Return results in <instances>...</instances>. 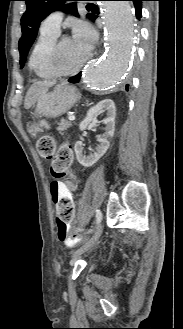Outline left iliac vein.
I'll use <instances>...</instances> for the list:
<instances>
[{
	"label": "left iliac vein",
	"instance_id": "obj_1",
	"mask_svg": "<svg viewBox=\"0 0 183 329\" xmlns=\"http://www.w3.org/2000/svg\"><path fill=\"white\" fill-rule=\"evenodd\" d=\"M103 230V225L101 223H99V225L97 226L94 235L91 237V239L85 243L81 248H79L77 251L74 252L73 254V258H76L77 256H79L80 254L84 253L85 251H87L88 249H90L91 247H93L95 245V243L97 242V240L99 239L101 233Z\"/></svg>",
	"mask_w": 183,
	"mask_h": 329
}]
</instances>
